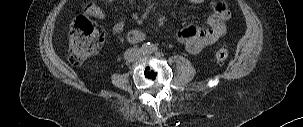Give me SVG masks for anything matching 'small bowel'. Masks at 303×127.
<instances>
[{
	"instance_id": "c3829d8e",
	"label": "small bowel",
	"mask_w": 303,
	"mask_h": 127,
	"mask_svg": "<svg viewBox=\"0 0 303 127\" xmlns=\"http://www.w3.org/2000/svg\"><path fill=\"white\" fill-rule=\"evenodd\" d=\"M103 2H112L114 0H102ZM197 2L199 0H191ZM216 5V3H214ZM88 13L98 20L105 18L103 9L97 3H91L87 9ZM230 16L226 8L218 9L217 13L208 18V28L201 29L193 24L186 25L181 31V39L188 52L195 54L200 52L206 45L215 42L225 32V20ZM136 21H140L139 16H135ZM125 28V22L118 20L114 23L112 30L114 33H121ZM127 39L132 43L141 42L144 39V33L139 28H132L127 33Z\"/></svg>"
}]
</instances>
